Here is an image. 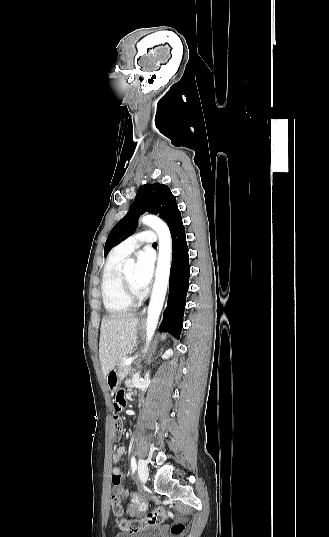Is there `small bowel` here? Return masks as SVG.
Segmentation results:
<instances>
[{
	"mask_svg": "<svg viewBox=\"0 0 329 537\" xmlns=\"http://www.w3.org/2000/svg\"><path fill=\"white\" fill-rule=\"evenodd\" d=\"M117 394L118 395L115 396L113 399V402L115 404L113 408V413L120 414L126 408L125 397L127 396L128 391L126 388L121 387L118 389ZM124 454H125V447L124 446L117 447L114 450V453L112 456L113 463L114 464L119 463L122 457L124 456ZM123 479H124L123 471L119 467L115 466L112 469L113 492L119 496L127 497L129 492L124 485Z\"/></svg>",
	"mask_w": 329,
	"mask_h": 537,
	"instance_id": "obj_1",
	"label": "small bowel"
}]
</instances>
